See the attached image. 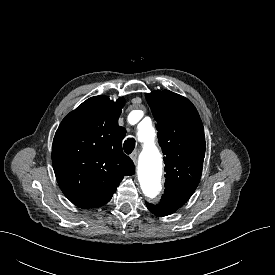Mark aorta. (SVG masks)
Wrapping results in <instances>:
<instances>
[{"instance_id": "1", "label": "aorta", "mask_w": 275, "mask_h": 275, "mask_svg": "<svg viewBox=\"0 0 275 275\" xmlns=\"http://www.w3.org/2000/svg\"><path fill=\"white\" fill-rule=\"evenodd\" d=\"M149 137L140 161L139 181L142 191L149 201L156 202L161 191L162 158L158 150L151 144L154 130L150 127L141 132Z\"/></svg>"}]
</instances>
